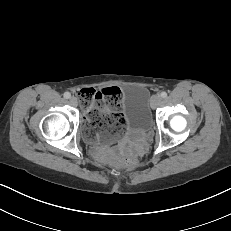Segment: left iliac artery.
Listing matches in <instances>:
<instances>
[{"label": "left iliac artery", "instance_id": "left-iliac-artery-1", "mask_svg": "<svg viewBox=\"0 0 231 231\" xmlns=\"http://www.w3.org/2000/svg\"><path fill=\"white\" fill-rule=\"evenodd\" d=\"M160 96H161L162 98H166V97H167V93H166L165 91H163V92H161Z\"/></svg>", "mask_w": 231, "mask_h": 231}]
</instances>
